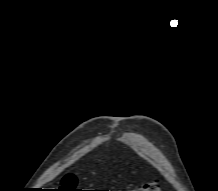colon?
I'll list each match as a JSON object with an SVG mask.
<instances>
[{
    "label": "colon",
    "mask_w": 218,
    "mask_h": 191,
    "mask_svg": "<svg viewBox=\"0 0 218 191\" xmlns=\"http://www.w3.org/2000/svg\"><path fill=\"white\" fill-rule=\"evenodd\" d=\"M61 186L64 188V191H80L77 189V180L72 175H67L63 177L61 181ZM123 191H161V185L158 181H151L149 183L144 184L140 188Z\"/></svg>",
    "instance_id": "obj_1"
}]
</instances>
